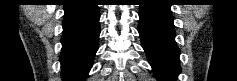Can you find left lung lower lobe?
Listing matches in <instances>:
<instances>
[{
  "instance_id": "0a47b994",
  "label": "left lung lower lobe",
  "mask_w": 237,
  "mask_h": 81,
  "mask_svg": "<svg viewBox=\"0 0 237 81\" xmlns=\"http://www.w3.org/2000/svg\"><path fill=\"white\" fill-rule=\"evenodd\" d=\"M170 6L166 1L150 0L140 5L139 12L142 47L160 81H173L181 70Z\"/></svg>"
}]
</instances>
